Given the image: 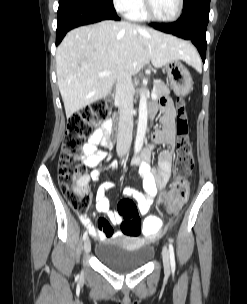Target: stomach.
Instances as JSON below:
<instances>
[{
	"instance_id": "obj_1",
	"label": "stomach",
	"mask_w": 247,
	"mask_h": 304,
	"mask_svg": "<svg viewBox=\"0 0 247 304\" xmlns=\"http://www.w3.org/2000/svg\"><path fill=\"white\" fill-rule=\"evenodd\" d=\"M165 69L169 77L170 86L176 95H187L193 85L192 77L188 69L179 60L167 63Z\"/></svg>"
}]
</instances>
